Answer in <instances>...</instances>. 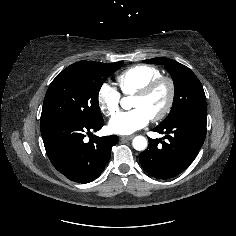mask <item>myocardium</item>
<instances>
[{"mask_svg": "<svg viewBox=\"0 0 236 236\" xmlns=\"http://www.w3.org/2000/svg\"><path fill=\"white\" fill-rule=\"evenodd\" d=\"M162 85L167 87V100L164 108L158 114L151 117V120L154 122L163 120L172 110L176 95V85L174 80L168 76H160L146 84L134 94L136 97L146 98Z\"/></svg>", "mask_w": 236, "mask_h": 236, "instance_id": "1", "label": "myocardium"}]
</instances>
